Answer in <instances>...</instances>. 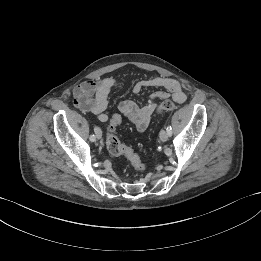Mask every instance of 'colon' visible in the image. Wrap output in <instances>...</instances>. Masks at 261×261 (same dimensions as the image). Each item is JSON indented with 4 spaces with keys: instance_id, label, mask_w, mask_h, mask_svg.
<instances>
[{
    "instance_id": "obj_1",
    "label": "colon",
    "mask_w": 261,
    "mask_h": 261,
    "mask_svg": "<svg viewBox=\"0 0 261 261\" xmlns=\"http://www.w3.org/2000/svg\"><path fill=\"white\" fill-rule=\"evenodd\" d=\"M176 109V104L170 100L163 101L160 103L156 111L157 113L170 112ZM122 119L120 115H114L109 123L106 136V146L110 154L114 156H124L130 162L131 166L136 171H143L144 164L140 156L134 152L130 147L123 145L117 136L115 135V130L117 126L121 123Z\"/></svg>"
}]
</instances>
